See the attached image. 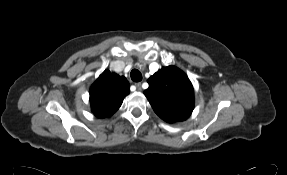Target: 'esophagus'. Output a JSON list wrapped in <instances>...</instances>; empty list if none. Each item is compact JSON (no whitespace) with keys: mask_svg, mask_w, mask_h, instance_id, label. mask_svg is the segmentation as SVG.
Segmentation results:
<instances>
[{"mask_svg":"<svg viewBox=\"0 0 287 175\" xmlns=\"http://www.w3.org/2000/svg\"><path fill=\"white\" fill-rule=\"evenodd\" d=\"M135 86L137 87L138 90H141V82L135 83Z\"/></svg>","mask_w":287,"mask_h":175,"instance_id":"34e87169","label":"esophagus"}]
</instances>
